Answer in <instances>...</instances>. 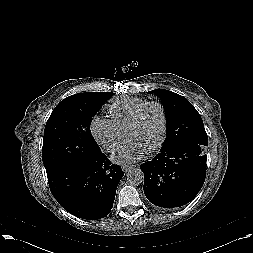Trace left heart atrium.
<instances>
[{"label":"left heart atrium","instance_id":"obj_1","mask_svg":"<svg viewBox=\"0 0 253 253\" xmlns=\"http://www.w3.org/2000/svg\"><path fill=\"white\" fill-rule=\"evenodd\" d=\"M147 150L137 141L126 140L113 154V159L118 163L130 164L139 160Z\"/></svg>","mask_w":253,"mask_h":253}]
</instances>
